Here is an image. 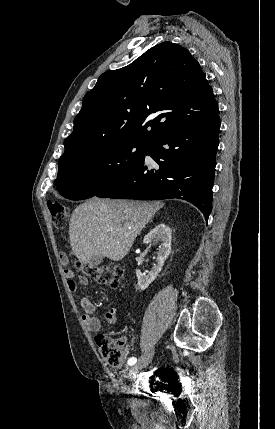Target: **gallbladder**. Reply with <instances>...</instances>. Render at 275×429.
<instances>
[{"instance_id": "gallbladder-1", "label": "gallbladder", "mask_w": 275, "mask_h": 429, "mask_svg": "<svg viewBox=\"0 0 275 429\" xmlns=\"http://www.w3.org/2000/svg\"><path fill=\"white\" fill-rule=\"evenodd\" d=\"M103 261V256H94L90 259V266H97Z\"/></svg>"}]
</instances>
